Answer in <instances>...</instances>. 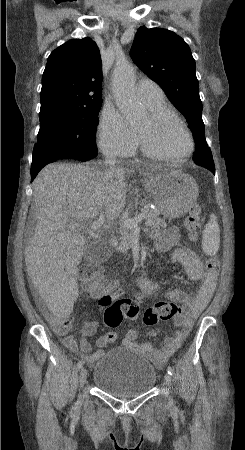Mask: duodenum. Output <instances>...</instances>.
Segmentation results:
<instances>
[{
	"label": "duodenum",
	"instance_id": "obj_1",
	"mask_svg": "<svg viewBox=\"0 0 245 450\" xmlns=\"http://www.w3.org/2000/svg\"><path fill=\"white\" fill-rule=\"evenodd\" d=\"M109 244L114 247L117 244V240L115 238H110Z\"/></svg>",
	"mask_w": 245,
	"mask_h": 450
}]
</instances>
